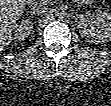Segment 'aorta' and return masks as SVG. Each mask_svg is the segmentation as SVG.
Listing matches in <instances>:
<instances>
[{"label":"aorta","instance_id":"762f6f07","mask_svg":"<svg viewBox=\"0 0 111 106\" xmlns=\"http://www.w3.org/2000/svg\"><path fill=\"white\" fill-rule=\"evenodd\" d=\"M55 16L58 17V18H63L65 16V11L64 10H58L55 13Z\"/></svg>","mask_w":111,"mask_h":106}]
</instances>
